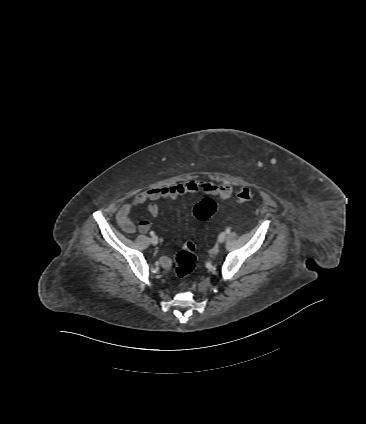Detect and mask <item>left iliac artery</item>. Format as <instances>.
<instances>
[{
  "label": "left iliac artery",
  "mask_w": 366,
  "mask_h": 424,
  "mask_svg": "<svg viewBox=\"0 0 366 424\" xmlns=\"http://www.w3.org/2000/svg\"><path fill=\"white\" fill-rule=\"evenodd\" d=\"M230 231H231L230 228L226 229V233H230Z\"/></svg>",
  "instance_id": "44dca946"
}]
</instances>
